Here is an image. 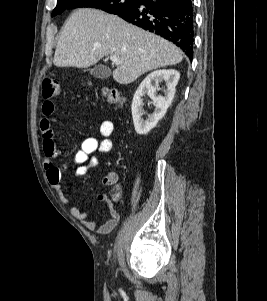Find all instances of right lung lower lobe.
<instances>
[{"mask_svg":"<svg viewBox=\"0 0 267 301\" xmlns=\"http://www.w3.org/2000/svg\"><path fill=\"white\" fill-rule=\"evenodd\" d=\"M117 15L171 41L192 60L194 41L192 0H138L131 9Z\"/></svg>","mask_w":267,"mask_h":301,"instance_id":"right-lung-lower-lobe-1","label":"right lung lower lobe"}]
</instances>
